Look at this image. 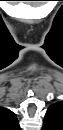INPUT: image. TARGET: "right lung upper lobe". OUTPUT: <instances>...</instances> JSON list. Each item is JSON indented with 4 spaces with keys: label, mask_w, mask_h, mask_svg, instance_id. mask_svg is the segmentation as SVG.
<instances>
[{
    "label": "right lung upper lobe",
    "mask_w": 63,
    "mask_h": 130,
    "mask_svg": "<svg viewBox=\"0 0 63 130\" xmlns=\"http://www.w3.org/2000/svg\"><path fill=\"white\" fill-rule=\"evenodd\" d=\"M0 128L2 130H20L16 115L6 108H0Z\"/></svg>",
    "instance_id": "1"
}]
</instances>
